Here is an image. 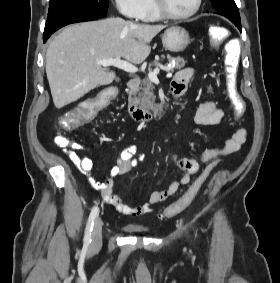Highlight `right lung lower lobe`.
I'll return each mask as SVG.
<instances>
[{
	"label": "right lung lower lobe",
	"mask_w": 280,
	"mask_h": 283,
	"mask_svg": "<svg viewBox=\"0 0 280 283\" xmlns=\"http://www.w3.org/2000/svg\"><path fill=\"white\" fill-rule=\"evenodd\" d=\"M99 18H79V17H67V18H60L49 23L45 24V30L43 35L44 43L47 39L59 28L66 26L68 24L77 23V22H85V21H92L97 20Z\"/></svg>",
	"instance_id": "right-lung-lower-lobe-1"
}]
</instances>
